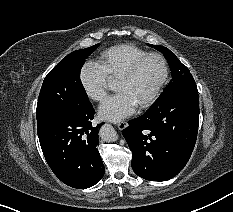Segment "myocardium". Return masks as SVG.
Instances as JSON below:
<instances>
[{"label":"myocardium","mask_w":233,"mask_h":212,"mask_svg":"<svg viewBox=\"0 0 233 212\" xmlns=\"http://www.w3.org/2000/svg\"><path fill=\"white\" fill-rule=\"evenodd\" d=\"M150 58H157L161 61L163 66V75L153 93L144 102L137 106L140 110L150 107L157 100L166 85L169 78V64L167 59L160 53H147L134 60L117 79V81H126L131 79L142 63Z\"/></svg>","instance_id":"myocardium-1"}]
</instances>
